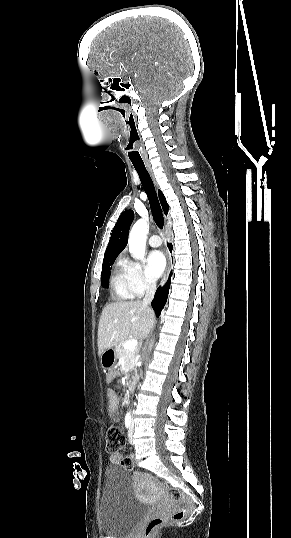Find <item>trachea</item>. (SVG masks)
Instances as JSON below:
<instances>
[{"instance_id": "obj_1", "label": "trachea", "mask_w": 291, "mask_h": 538, "mask_svg": "<svg viewBox=\"0 0 291 538\" xmlns=\"http://www.w3.org/2000/svg\"><path fill=\"white\" fill-rule=\"evenodd\" d=\"M133 166L139 175L140 181L149 199L153 219L156 225L160 229H163L164 218H163L162 210L158 201V197L155 191L153 181L144 164L133 163Z\"/></svg>"}]
</instances>
